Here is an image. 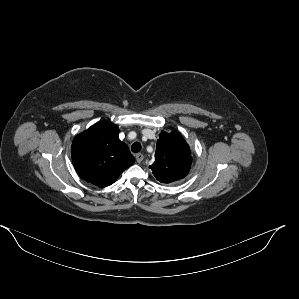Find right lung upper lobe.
I'll return each mask as SVG.
<instances>
[{
	"label": "right lung upper lobe",
	"instance_id": "cb5924a9",
	"mask_svg": "<svg viewBox=\"0 0 299 299\" xmlns=\"http://www.w3.org/2000/svg\"><path fill=\"white\" fill-rule=\"evenodd\" d=\"M118 133L116 125L100 122L74 138L72 162L81 178L96 186L106 187L134 164V157L128 146L120 141Z\"/></svg>",
	"mask_w": 299,
	"mask_h": 299
}]
</instances>
